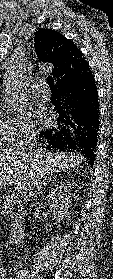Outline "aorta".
Segmentation results:
<instances>
[{"label":"aorta","instance_id":"1","mask_svg":"<svg viewBox=\"0 0 113 279\" xmlns=\"http://www.w3.org/2000/svg\"><path fill=\"white\" fill-rule=\"evenodd\" d=\"M20 96L17 92H14L11 94V96L9 97V108L12 111H16L17 106H16V102H18Z\"/></svg>","mask_w":113,"mask_h":279}]
</instances>
